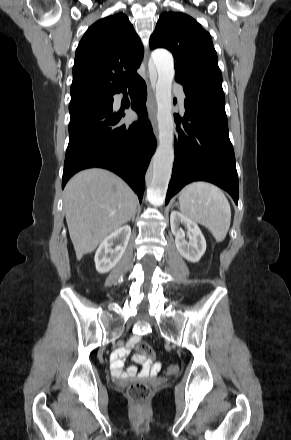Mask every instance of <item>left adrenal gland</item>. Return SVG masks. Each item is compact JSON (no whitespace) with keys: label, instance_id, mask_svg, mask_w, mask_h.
Listing matches in <instances>:
<instances>
[{"label":"left adrenal gland","instance_id":"obj_1","mask_svg":"<svg viewBox=\"0 0 291 440\" xmlns=\"http://www.w3.org/2000/svg\"><path fill=\"white\" fill-rule=\"evenodd\" d=\"M175 206H178V203H175Z\"/></svg>","mask_w":291,"mask_h":440}]
</instances>
